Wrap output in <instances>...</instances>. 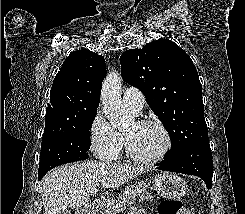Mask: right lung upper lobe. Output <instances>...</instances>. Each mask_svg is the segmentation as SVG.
<instances>
[{
  "instance_id": "right-lung-upper-lobe-1",
  "label": "right lung upper lobe",
  "mask_w": 245,
  "mask_h": 214,
  "mask_svg": "<svg viewBox=\"0 0 245 214\" xmlns=\"http://www.w3.org/2000/svg\"><path fill=\"white\" fill-rule=\"evenodd\" d=\"M105 74L103 56L84 49L73 51L53 81L43 135L73 127L97 110Z\"/></svg>"
}]
</instances>
